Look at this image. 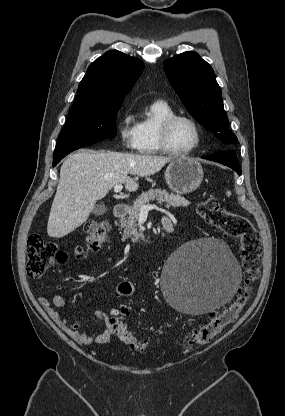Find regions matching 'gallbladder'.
I'll return each mask as SVG.
<instances>
[{"label": "gallbladder", "mask_w": 285, "mask_h": 416, "mask_svg": "<svg viewBox=\"0 0 285 416\" xmlns=\"http://www.w3.org/2000/svg\"><path fill=\"white\" fill-rule=\"evenodd\" d=\"M106 212L107 208L104 206V204H95L92 210V214H94V216H103V214H106Z\"/></svg>", "instance_id": "obj_1"}]
</instances>
